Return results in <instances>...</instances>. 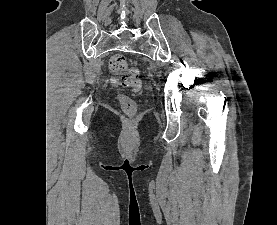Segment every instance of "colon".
<instances>
[{"mask_svg":"<svg viewBox=\"0 0 277 225\" xmlns=\"http://www.w3.org/2000/svg\"><path fill=\"white\" fill-rule=\"evenodd\" d=\"M109 66L111 71L118 78L120 84L123 87L131 88L134 90L139 89V72L136 68L128 64L127 59L124 55L116 54L112 56L109 62ZM119 102L121 109L125 114L132 116L136 113L137 104L132 98L126 95H120Z\"/></svg>","mask_w":277,"mask_h":225,"instance_id":"obj_1","label":"colon"}]
</instances>
